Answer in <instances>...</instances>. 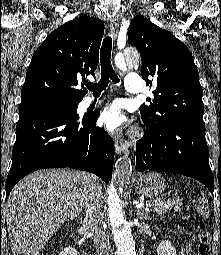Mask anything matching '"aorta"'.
<instances>
[{
    "label": "aorta",
    "mask_w": 221,
    "mask_h": 255,
    "mask_svg": "<svg viewBox=\"0 0 221 255\" xmlns=\"http://www.w3.org/2000/svg\"><path fill=\"white\" fill-rule=\"evenodd\" d=\"M115 63L119 68H125L126 66L137 67L139 64V55L135 50L129 48L124 53L117 54ZM128 154L129 152L118 160L117 170L108 190L109 218L113 227L114 241L118 247V255H136L131 227L126 221L124 212L120 206V197L128 185L133 169Z\"/></svg>",
    "instance_id": "obj_1"
}]
</instances>
